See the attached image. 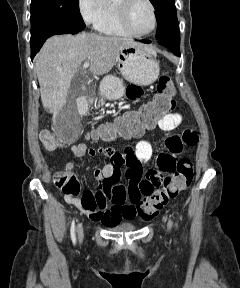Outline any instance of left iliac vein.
I'll return each instance as SVG.
<instances>
[{"label":"left iliac vein","mask_w":240,"mask_h":288,"mask_svg":"<svg viewBox=\"0 0 240 288\" xmlns=\"http://www.w3.org/2000/svg\"><path fill=\"white\" fill-rule=\"evenodd\" d=\"M167 228H168V230H171V228H172V222H171V220H168Z\"/></svg>","instance_id":"obj_1"}]
</instances>
